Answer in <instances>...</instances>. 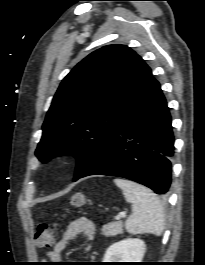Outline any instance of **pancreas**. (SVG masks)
<instances>
[{
    "instance_id": "cf45deb5",
    "label": "pancreas",
    "mask_w": 205,
    "mask_h": 265,
    "mask_svg": "<svg viewBox=\"0 0 205 265\" xmlns=\"http://www.w3.org/2000/svg\"><path fill=\"white\" fill-rule=\"evenodd\" d=\"M101 231H102V234L107 236V237L122 234L123 233V223L121 221L110 222L108 224L103 225Z\"/></svg>"
}]
</instances>
